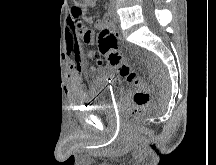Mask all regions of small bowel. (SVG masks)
Wrapping results in <instances>:
<instances>
[{
	"label": "small bowel",
	"instance_id": "c3829d8e",
	"mask_svg": "<svg viewBox=\"0 0 216 165\" xmlns=\"http://www.w3.org/2000/svg\"><path fill=\"white\" fill-rule=\"evenodd\" d=\"M96 1L97 0H88V3L80 10H77L75 7L71 9V16L69 18L67 28V43L70 52L74 54L78 67L82 63L80 40L90 45L95 43V32L91 29H88L84 25L83 21L88 24H92L94 22L92 17L86 16L84 14V10L85 7L95 6ZM96 26L99 28H108L110 27V23L106 19H103L97 21Z\"/></svg>",
	"mask_w": 216,
	"mask_h": 165
}]
</instances>
